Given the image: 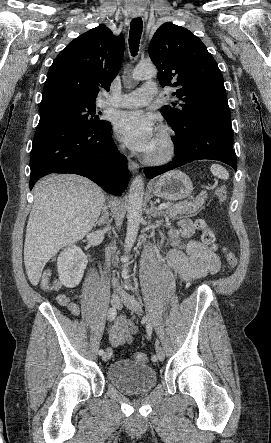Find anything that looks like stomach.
Wrapping results in <instances>:
<instances>
[{
	"label": "stomach",
	"mask_w": 271,
	"mask_h": 443,
	"mask_svg": "<svg viewBox=\"0 0 271 443\" xmlns=\"http://www.w3.org/2000/svg\"><path fill=\"white\" fill-rule=\"evenodd\" d=\"M151 186L153 196L164 198V200H183L190 196L193 190L190 178L179 170L163 174L161 178L153 180Z\"/></svg>",
	"instance_id": "stomach-1"
}]
</instances>
